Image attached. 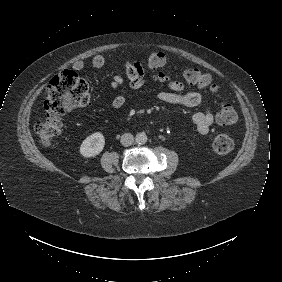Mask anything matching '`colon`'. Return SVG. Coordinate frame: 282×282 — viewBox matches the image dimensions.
Returning <instances> with one entry per match:
<instances>
[{"instance_id":"obj_1","label":"colon","mask_w":282,"mask_h":282,"mask_svg":"<svg viewBox=\"0 0 282 282\" xmlns=\"http://www.w3.org/2000/svg\"><path fill=\"white\" fill-rule=\"evenodd\" d=\"M147 63L153 68L163 67L166 64L165 55L162 52H150L147 56ZM185 78L190 84L217 90V85L213 82L211 76L196 69H187ZM88 102V84L77 73L65 71L55 76L47 87V100L45 102L47 116L35 127L40 142L45 145L52 144L60 134L63 113L70 108L84 107ZM217 118L220 123L230 125L237 122L238 114L232 106L223 103L219 108ZM233 146V139L226 133H219L213 139V149L219 155L228 154Z\"/></svg>"}]
</instances>
